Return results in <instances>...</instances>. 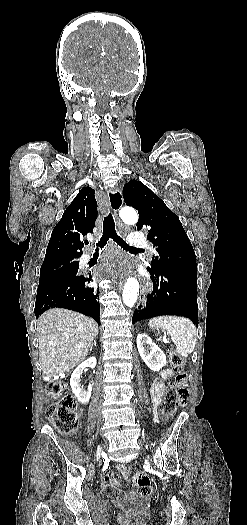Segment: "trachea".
I'll list each match as a JSON object with an SVG mask.
<instances>
[{
    "label": "trachea",
    "mask_w": 247,
    "mask_h": 525,
    "mask_svg": "<svg viewBox=\"0 0 247 525\" xmlns=\"http://www.w3.org/2000/svg\"><path fill=\"white\" fill-rule=\"evenodd\" d=\"M109 239H112L115 243H117L121 248L124 250L129 249H136L137 247H130L128 243H126L117 233L115 230V222L113 219V216L111 213H108L106 216H104L103 221V235L100 239V241L96 244L97 247L102 249ZM88 243V242H87ZM99 249L96 248V252H98Z\"/></svg>",
    "instance_id": "trachea-1"
}]
</instances>
